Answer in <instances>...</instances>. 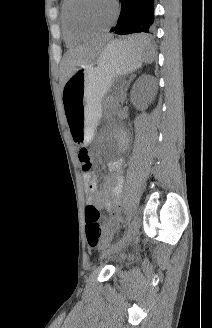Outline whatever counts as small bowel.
Instances as JSON below:
<instances>
[{
    "mask_svg": "<svg viewBox=\"0 0 212 328\" xmlns=\"http://www.w3.org/2000/svg\"><path fill=\"white\" fill-rule=\"evenodd\" d=\"M82 164V163H81ZM122 161L113 160L109 164L111 177L107 186L99 190L97 179L91 171L85 172L83 180L89 193L88 202L97 209H105L110 215L104 219L103 231L106 239L112 238L118 231L121 222V196H122Z\"/></svg>",
    "mask_w": 212,
    "mask_h": 328,
    "instance_id": "c3829d8e",
    "label": "small bowel"
}]
</instances>
